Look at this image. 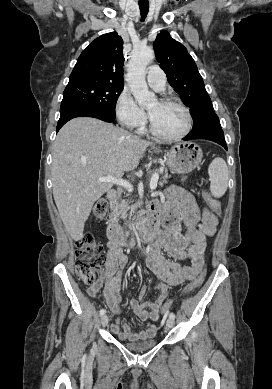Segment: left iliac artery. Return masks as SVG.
<instances>
[{"instance_id": "obj_1", "label": "left iliac artery", "mask_w": 272, "mask_h": 389, "mask_svg": "<svg viewBox=\"0 0 272 389\" xmlns=\"http://www.w3.org/2000/svg\"><path fill=\"white\" fill-rule=\"evenodd\" d=\"M169 318L174 320L175 319V314L174 313H170Z\"/></svg>"}]
</instances>
